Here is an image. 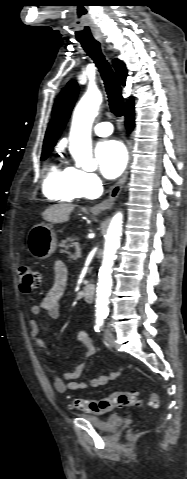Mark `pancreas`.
<instances>
[{
    "instance_id": "pancreas-1",
    "label": "pancreas",
    "mask_w": 187,
    "mask_h": 479,
    "mask_svg": "<svg viewBox=\"0 0 187 479\" xmlns=\"http://www.w3.org/2000/svg\"><path fill=\"white\" fill-rule=\"evenodd\" d=\"M78 239L75 238L74 236H70L64 240L61 241V243L59 244L60 247H63L65 248L66 250H68L69 248H71L72 246H75V245H79L78 242H76Z\"/></svg>"
}]
</instances>
